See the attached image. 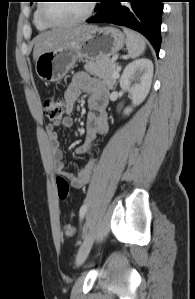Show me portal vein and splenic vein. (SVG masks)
<instances>
[{
	"instance_id": "18ae733b",
	"label": "portal vein and splenic vein",
	"mask_w": 195,
	"mask_h": 299,
	"mask_svg": "<svg viewBox=\"0 0 195 299\" xmlns=\"http://www.w3.org/2000/svg\"><path fill=\"white\" fill-rule=\"evenodd\" d=\"M113 75H114L115 78H118L119 77L118 70H115L114 73H113Z\"/></svg>"
}]
</instances>
